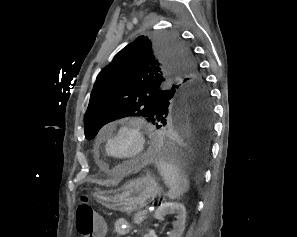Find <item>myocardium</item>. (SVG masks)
<instances>
[{"label":"myocardium","instance_id":"f54148a6","mask_svg":"<svg viewBox=\"0 0 297 237\" xmlns=\"http://www.w3.org/2000/svg\"><path fill=\"white\" fill-rule=\"evenodd\" d=\"M123 133H127L134 138L135 151L128 156L118 158V157L113 156L109 152V145L113 138H115ZM146 146H147L146 137H145L141 123L132 121V122H127V123L120 125L117 129H115L113 132H111L108 135V137L106 138V142H105V153L108 157H110L111 159H113L117 162H127V161H132V160H136V159L140 158L145 153Z\"/></svg>","mask_w":297,"mask_h":237}]
</instances>
